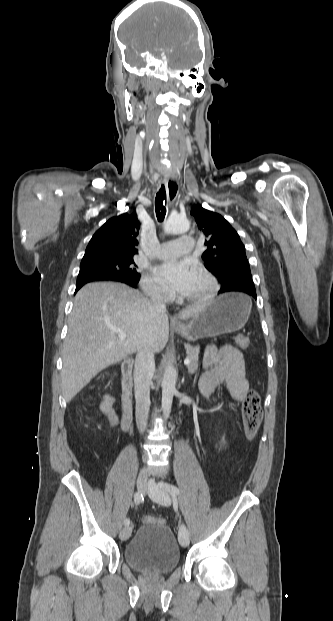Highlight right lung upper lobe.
<instances>
[{"label": "right lung upper lobe", "instance_id": "right-lung-upper-lobe-1", "mask_svg": "<svg viewBox=\"0 0 333 621\" xmlns=\"http://www.w3.org/2000/svg\"><path fill=\"white\" fill-rule=\"evenodd\" d=\"M137 215L124 213L109 219L91 238L83 259L133 257L138 253Z\"/></svg>", "mask_w": 333, "mask_h": 621}]
</instances>
